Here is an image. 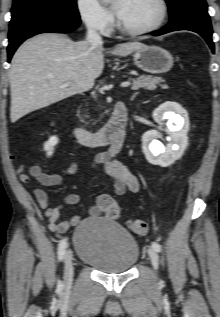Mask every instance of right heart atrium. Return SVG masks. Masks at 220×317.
<instances>
[{"label": "right heart atrium", "mask_w": 220, "mask_h": 317, "mask_svg": "<svg viewBox=\"0 0 220 317\" xmlns=\"http://www.w3.org/2000/svg\"><path fill=\"white\" fill-rule=\"evenodd\" d=\"M76 6L86 27L101 33H107L111 29L112 18L98 0H77Z\"/></svg>", "instance_id": "right-heart-atrium-1"}]
</instances>
